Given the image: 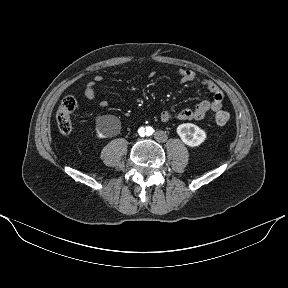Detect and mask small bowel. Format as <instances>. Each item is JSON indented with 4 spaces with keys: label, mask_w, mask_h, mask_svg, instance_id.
<instances>
[{
    "label": "small bowel",
    "mask_w": 288,
    "mask_h": 288,
    "mask_svg": "<svg viewBox=\"0 0 288 288\" xmlns=\"http://www.w3.org/2000/svg\"><path fill=\"white\" fill-rule=\"evenodd\" d=\"M115 75L119 72H115ZM179 79L181 84H186L194 81L195 73L190 69H180ZM104 78L101 75H97L94 79L89 82L85 89V96L89 102L97 108H106L108 102L105 100L99 101L95 92L97 85L103 82ZM202 85L209 91L212 95V99H204L199 102L193 108H185L178 112L163 111L160 114V121L162 123H168L172 120L190 121V120H202L209 111L217 112L222 108L223 105V93L221 89L209 79L202 81Z\"/></svg>",
    "instance_id": "1"
}]
</instances>
